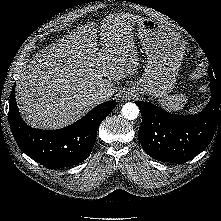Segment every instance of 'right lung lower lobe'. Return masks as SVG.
Here are the masks:
<instances>
[{
    "mask_svg": "<svg viewBox=\"0 0 221 221\" xmlns=\"http://www.w3.org/2000/svg\"><path fill=\"white\" fill-rule=\"evenodd\" d=\"M115 105V101L102 103L62 129L39 130L22 120L14 85L9 99V123L19 148L30 158L49 169L68 167L84 161L90 155L98 127Z\"/></svg>",
    "mask_w": 221,
    "mask_h": 221,
    "instance_id": "right-lung-lower-lobe-1",
    "label": "right lung lower lobe"
}]
</instances>
